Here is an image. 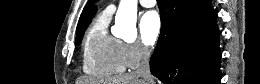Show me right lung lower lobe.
<instances>
[{"label": "right lung lower lobe", "mask_w": 260, "mask_h": 84, "mask_svg": "<svg viewBox=\"0 0 260 84\" xmlns=\"http://www.w3.org/2000/svg\"><path fill=\"white\" fill-rule=\"evenodd\" d=\"M161 33L150 59L164 84H219L220 32L211 0H157Z\"/></svg>", "instance_id": "98d812e1"}]
</instances>
